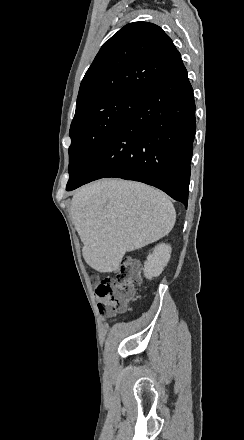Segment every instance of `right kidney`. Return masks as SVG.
I'll return each mask as SVG.
<instances>
[{"label": "right kidney", "instance_id": "obj_1", "mask_svg": "<svg viewBox=\"0 0 244 440\" xmlns=\"http://www.w3.org/2000/svg\"><path fill=\"white\" fill-rule=\"evenodd\" d=\"M171 250L172 248L168 244H159L154 248L153 254H150L144 262L143 272L147 280H152V278H157L162 274L171 258Z\"/></svg>", "mask_w": 244, "mask_h": 440}]
</instances>
